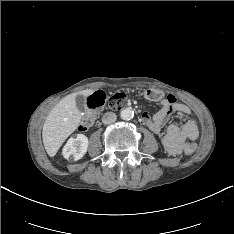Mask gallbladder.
<instances>
[{
	"label": "gallbladder",
	"instance_id": "1",
	"mask_svg": "<svg viewBox=\"0 0 234 234\" xmlns=\"http://www.w3.org/2000/svg\"><path fill=\"white\" fill-rule=\"evenodd\" d=\"M76 106L80 111H84L86 109L85 98L81 95L76 96Z\"/></svg>",
	"mask_w": 234,
	"mask_h": 234
}]
</instances>
